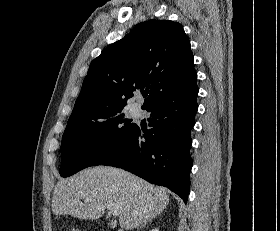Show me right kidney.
Instances as JSON below:
<instances>
[{
  "label": "right kidney",
  "instance_id": "ca27d5eb",
  "mask_svg": "<svg viewBox=\"0 0 280 231\" xmlns=\"http://www.w3.org/2000/svg\"><path fill=\"white\" fill-rule=\"evenodd\" d=\"M150 231H159L158 227H155V229H150Z\"/></svg>",
  "mask_w": 280,
  "mask_h": 231
}]
</instances>
